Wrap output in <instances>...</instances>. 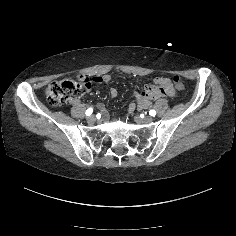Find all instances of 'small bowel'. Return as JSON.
Returning <instances> with one entry per match:
<instances>
[{"instance_id": "small-bowel-1", "label": "small bowel", "mask_w": 236, "mask_h": 236, "mask_svg": "<svg viewBox=\"0 0 236 236\" xmlns=\"http://www.w3.org/2000/svg\"><path fill=\"white\" fill-rule=\"evenodd\" d=\"M96 81L108 82V81H110V76H109V75H105V76H102V77H100V78H96ZM159 81H160L161 83H168V82H169V80L166 79V78H160ZM116 94H117V91H116L115 89H111V90H110V95H111L112 97H115ZM146 103H147V100L140 102V105H141V106H144ZM75 104H78V102L76 101Z\"/></svg>"}]
</instances>
